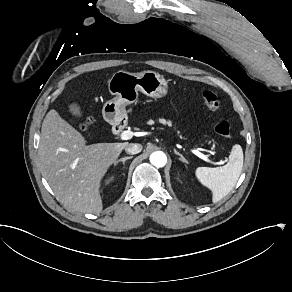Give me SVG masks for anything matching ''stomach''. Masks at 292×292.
<instances>
[{"instance_id": "stomach-1", "label": "stomach", "mask_w": 292, "mask_h": 292, "mask_svg": "<svg viewBox=\"0 0 292 292\" xmlns=\"http://www.w3.org/2000/svg\"><path fill=\"white\" fill-rule=\"evenodd\" d=\"M108 89L115 97L104 104L102 115L113 125L127 117L125 107L137 100L139 91L152 98H161L167 94L168 85L164 77L154 71L130 73L120 70L108 80Z\"/></svg>"}]
</instances>
